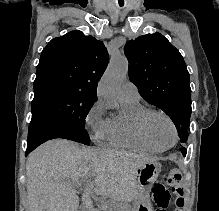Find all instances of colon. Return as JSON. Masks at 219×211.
I'll list each match as a JSON object with an SVG mask.
<instances>
[{"label":"colon","instance_id":"5ec220e1","mask_svg":"<svg viewBox=\"0 0 219 211\" xmlns=\"http://www.w3.org/2000/svg\"><path fill=\"white\" fill-rule=\"evenodd\" d=\"M165 182L171 187V191L175 196L174 211H181L184 206V186H183V177L179 170L172 169L167 171L164 176Z\"/></svg>","mask_w":219,"mask_h":211}]
</instances>
